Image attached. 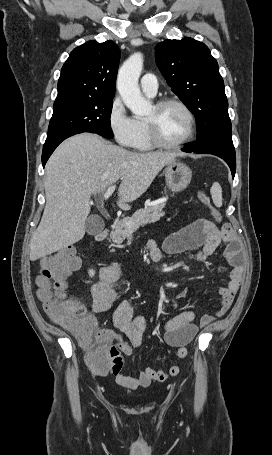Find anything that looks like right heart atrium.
<instances>
[{
	"label": "right heart atrium",
	"instance_id": "obj_1",
	"mask_svg": "<svg viewBox=\"0 0 272 455\" xmlns=\"http://www.w3.org/2000/svg\"><path fill=\"white\" fill-rule=\"evenodd\" d=\"M108 126L114 140L123 147H132L137 135L136 120L131 117L120 97L113 98L108 110Z\"/></svg>",
	"mask_w": 272,
	"mask_h": 455
}]
</instances>
